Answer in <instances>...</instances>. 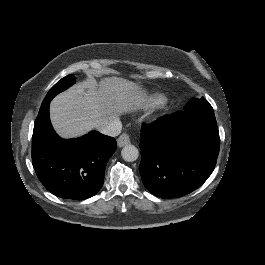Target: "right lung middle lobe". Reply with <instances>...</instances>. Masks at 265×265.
<instances>
[{
	"label": "right lung middle lobe",
	"instance_id": "obj_1",
	"mask_svg": "<svg viewBox=\"0 0 265 265\" xmlns=\"http://www.w3.org/2000/svg\"><path fill=\"white\" fill-rule=\"evenodd\" d=\"M76 78L74 75H67L59 80L47 93L44 98L41 107H44L46 103H49L58 93L64 91L75 83Z\"/></svg>",
	"mask_w": 265,
	"mask_h": 265
}]
</instances>
